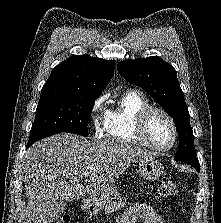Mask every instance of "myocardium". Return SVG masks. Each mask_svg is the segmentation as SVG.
Listing matches in <instances>:
<instances>
[{"label":"myocardium","instance_id":"f54148a6","mask_svg":"<svg viewBox=\"0 0 221 223\" xmlns=\"http://www.w3.org/2000/svg\"><path fill=\"white\" fill-rule=\"evenodd\" d=\"M154 113H160L163 116H165L171 125L172 131H173V139L170 142V144H168L167 146H158L154 144L148 137V131H147L148 122ZM134 131H135L136 136L139 138V140L142 143H144L146 146H148L152 150L160 151V152H165L172 149L177 143L178 136H179L177 124L173 116L165 109L161 107H156V106L147 107L139 113Z\"/></svg>","mask_w":221,"mask_h":223}]
</instances>
